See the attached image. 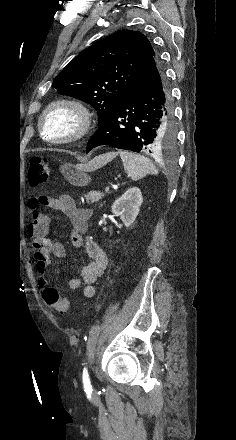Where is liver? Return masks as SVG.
Masks as SVG:
<instances>
[{"instance_id": "6515ba94", "label": "liver", "mask_w": 236, "mask_h": 440, "mask_svg": "<svg viewBox=\"0 0 236 440\" xmlns=\"http://www.w3.org/2000/svg\"><path fill=\"white\" fill-rule=\"evenodd\" d=\"M112 154H106V155H101L96 157L94 160V166L95 167H100L103 166L104 164H106L111 158H112Z\"/></svg>"}]
</instances>
